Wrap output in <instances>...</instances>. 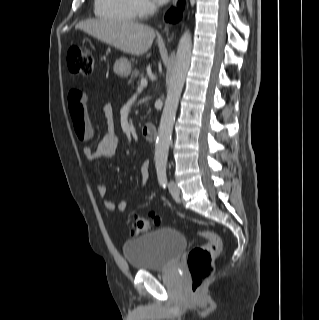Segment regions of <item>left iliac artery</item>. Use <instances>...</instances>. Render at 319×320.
I'll list each match as a JSON object with an SVG mask.
<instances>
[{
  "instance_id": "44dca946",
  "label": "left iliac artery",
  "mask_w": 319,
  "mask_h": 320,
  "mask_svg": "<svg viewBox=\"0 0 319 320\" xmlns=\"http://www.w3.org/2000/svg\"><path fill=\"white\" fill-rule=\"evenodd\" d=\"M157 176L159 183L165 188L167 184L166 166L162 165L157 167Z\"/></svg>"
}]
</instances>
